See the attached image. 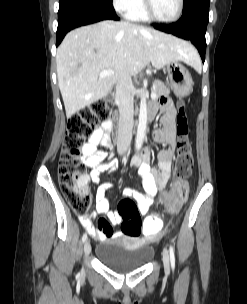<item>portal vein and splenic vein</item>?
I'll return each mask as SVG.
<instances>
[{"instance_id": "portal-vein-and-splenic-vein-1", "label": "portal vein and splenic vein", "mask_w": 247, "mask_h": 304, "mask_svg": "<svg viewBox=\"0 0 247 304\" xmlns=\"http://www.w3.org/2000/svg\"><path fill=\"white\" fill-rule=\"evenodd\" d=\"M112 74H113V71H111V70L108 69L106 71L101 72L99 74V76L100 77H106V76H109V75H112ZM151 97L152 98L156 97V94L153 91L151 92Z\"/></svg>"}]
</instances>
